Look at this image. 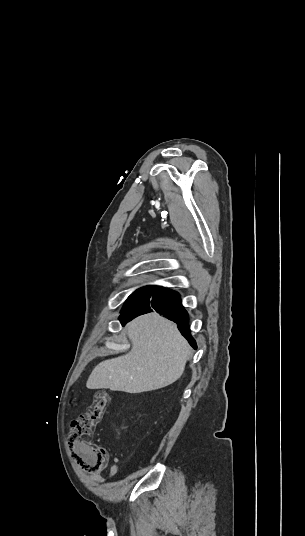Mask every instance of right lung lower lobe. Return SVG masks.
<instances>
[{
  "instance_id": "obj_1",
  "label": "right lung lower lobe",
  "mask_w": 305,
  "mask_h": 536,
  "mask_svg": "<svg viewBox=\"0 0 305 536\" xmlns=\"http://www.w3.org/2000/svg\"><path fill=\"white\" fill-rule=\"evenodd\" d=\"M153 310L175 321L182 335L196 349V342L190 334L188 313L182 306L181 299L176 291L163 287H155L148 294L124 310L119 316V320L122 325H125L133 318L152 312Z\"/></svg>"
}]
</instances>
